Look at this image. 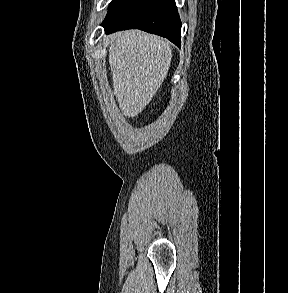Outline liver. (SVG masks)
I'll return each instance as SVG.
<instances>
[{
  "mask_svg": "<svg viewBox=\"0 0 288 293\" xmlns=\"http://www.w3.org/2000/svg\"><path fill=\"white\" fill-rule=\"evenodd\" d=\"M108 49L113 89L126 117L143 111L167 77L171 43L140 30H128L110 36Z\"/></svg>",
  "mask_w": 288,
  "mask_h": 293,
  "instance_id": "liver-1",
  "label": "liver"
}]
</instances>
